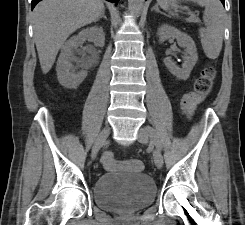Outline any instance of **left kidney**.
Segmentation results:
<instances>
[{
    "label": "left kidney",
    "mask_w": 245,
    "mask_h": 225,
    "mask_svg": "<svg viewBox=\"0 0 245 225\" xmlns=\"http://www.w3.org/2000/svg\"><path fill=\"white\" fill-rule=\"evenodd\" d=\"M157 35L161 43L169 38H175L178 45L185 48L184 63L181 68L178 67L170 57H166L164 63L168 70L178 79H188L198 60L197 48L193 39L188 34L169 25H162L158 29Z\"/></svg>",
    "instance_id": "obj_1"
}]
</instances>
